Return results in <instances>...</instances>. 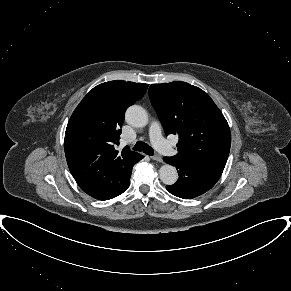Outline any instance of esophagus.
Instances as JSON below:
<instances>
[{"label": "esophagus", "mask_w": 291, "mask_h": 291, "mask_svg": "<svg viewBox=\"0 0 291 291\" xmlns=\"http://www.w3.org/2000/svg\"><path fill=\"white\" fill-rule=\"evenodd\" d=\"M151 159L157 162H162V157L159 155H153L151 156Z\"/></svg>", "instance_id": "34e87169"}]
</instances>
